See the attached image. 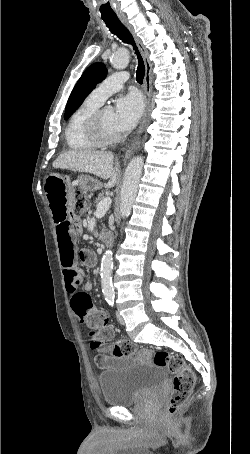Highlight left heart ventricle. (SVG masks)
Segmentation results:
<instances>
[{
    "mask_svg": "<svg viewBox=\"0 0 250 454\" xmlns=\"http://www.w3.org/2000/svg\"><path fill=\"white\" fill-rule=\"evenodd\" d=\"M102 124L109 134H117L118 131L114 126V113L110 110H104L102 113Z\"/></svg>",
    "mask_w": 250,
    "mask_h": 454,
    "instance_id": "b2bd125f",
    "label": "left heart ventricle"
}]
</instances>
